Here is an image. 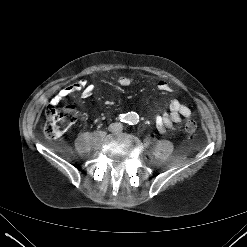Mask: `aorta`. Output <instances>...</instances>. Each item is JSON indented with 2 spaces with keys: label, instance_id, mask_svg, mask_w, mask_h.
I'll return each instance as SVG.
<instances>
[{
  "label": "aorta",
  "instance_id": "1",
  "mask_svg": "<svg viewBox=\"0 0 247 247\" xmlns=\"http://www.w3.org/2000/svg\"><path fill=\"white\" fill-rule=\"evenodd\" d=\"M126 119H127V121H128L129 123L135 124V123L138 122L139 116H138V114L135 113V112H130V113L127 114Z\"/></svg>",
  "mask_w": 247,
  "mask_h": 247
}]
</instances>
